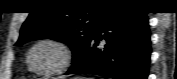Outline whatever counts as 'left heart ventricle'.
Instances as JSON below:
<instances>
[{"mask_svg": "<svg viewBox=\"0 0 177 79\" xmlns=\"http://www.w3.org/2000/svg\"><path fill=\"white\" fill-rule=\"evenodd\" d=\"M60 61L59 50L52 45L44 44L37 47L32 55V65L41 71H48L53 69Z\"/></svg>", "mask_w": 177, "mask_h": 79, "instance_id": "left-heart-ventricle-1", "label": "left heart ventricle"}]
</instances>
